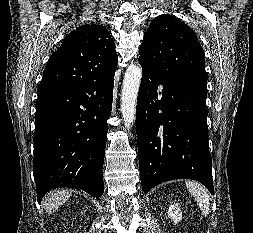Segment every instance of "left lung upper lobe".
I'll return each mask as SVG.
<instances>
[{
    "label": "left lung upper lobe",
    "mask_w": 253,
    "mask_h": 233,
    "mask_svg": "<svg viewBox=\"0 0 253 233\" xmlns=\"http://www.w3.org/2000/svg\"><path fill=\"white\" fill-rule=\"evenodd\" d=\"M139 54L167 82H207L200 42L188 25L171 15H159L150 23Z\"/></svg>",
    "instance_id": "left-lung-upper-lobe-1"
}]
</instances>
